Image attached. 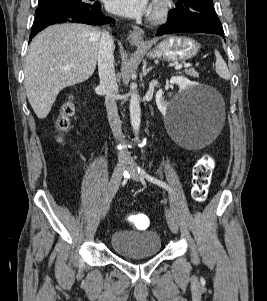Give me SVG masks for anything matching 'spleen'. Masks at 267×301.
Here are the masks:
<instances>
[{
    "label": "spleen",
    "instance_id": "spleen-1",
    "mask_svg": "<svg viewBox=\"0 0 267 301\" xmlns=\"http://www.w3.org/2000/svg\"><path fill=\"white\" fill-rule=\"evenodd\" d=\"M215 56H216V63H215L216 73L223 79L226 80L230 79V72L228 70L225 61L220 55L219 51L215 50Z\"/></svg>",
    "mask_w": 267,
    "mask_h": 301
}]
</instances>
